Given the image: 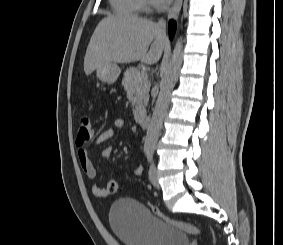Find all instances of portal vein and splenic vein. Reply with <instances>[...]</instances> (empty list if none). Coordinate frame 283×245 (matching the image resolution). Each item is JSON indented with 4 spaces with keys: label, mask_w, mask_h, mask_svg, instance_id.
<instances>
[{
    "label": "portal vein and splenic vein",
    "mask_w": 283,
    "mask_h": 245,
    "mask_svg": "<svg viewBox=\"0 0 283 245\" xmlns=\"http://www.w3.org/2000/svg\"><path fill=\"white\" fill-rule=\"evenodd\" d=\"M147 77V73L145 71H141L139 78L140 79H145Z\"/></svg>",
    "instance_id": "18ae733b"
}]
</instances>
